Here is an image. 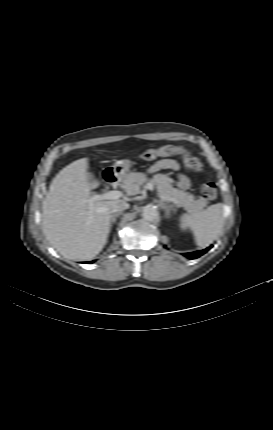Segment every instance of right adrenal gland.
I'll return each mask as SVG.
<instances>
[{"label": "right adrenal gland", "instance_id": "2a0ac1e0", "mask_svg": "<svg viewBox=\"0 0 273 430\" xmlns=\"http://www.w3.org/2000/svg\"><path fill=\"white\" fill-rule=\"evenodd\" d=\"M122 213L121 212H117L115 214L112 215L111 217V224H110V228L113 226V224L116 222L117 217H119Z\"/></svg>", "mask_w": 273, "mask_h": 430}]
</instances>
